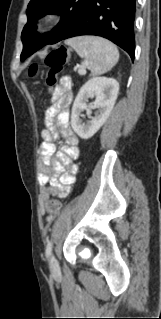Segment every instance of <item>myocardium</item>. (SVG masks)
Wrapping results in <instances>:
<instances>
[{"mask_svg": "<svg viewBox=\"0 0 161 319\" xmlns=\"http://www.w3.org/2000/svg\"><path fill=\"white\" fill-rule=\"evenodd\" d=\"M56 14L55 13H48L46 14L43 19L41 24L38 26V31H41L44 27L48 26L49 24H51L54 19L56 18Z\"/></svg>", "mask_w": 161, "mask_h": 319, "instance_id": "myocardium-1", "label": "myocardium"}]
</instances>
